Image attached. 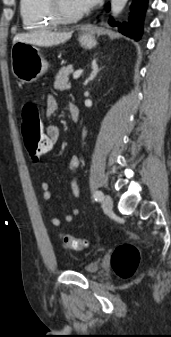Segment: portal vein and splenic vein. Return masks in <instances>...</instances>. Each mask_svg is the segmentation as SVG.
<instances>
[{
    "label": "portal vein and splenic vein",
    "mask_w": 171,
    "mask_h": 337,
    "mask_svg": "<svg viewBox=\"0 0 171 337\" xmlns=\"http://www.w3.org/2000/svg\"><path fill=\"white\" fill-rule=\"evenodd\" d=\"M82 73H83V70H81V69L75 71L74 74H73V79H78L82 75Z\"/></svg>",
    "instance_id": "18ae733b"
}]
</instances>
